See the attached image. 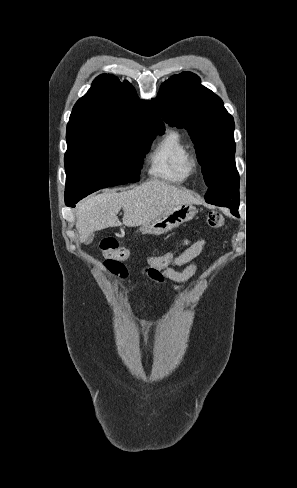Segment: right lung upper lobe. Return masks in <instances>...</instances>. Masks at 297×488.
Here are the masks:
<instances>
[{
    "instance_id": "right-lung-upper-lobe-1",
    "label": "right lung upper lobe",
    "mask_w": 297,
    "mask_h": 488,
    "mask_svg": "<svg viewBox=\"0 0 297 488\" xmlns=\"http://www.w3.org/2000/svg\"><path fill=\"white\" fill-rule=\"evenodd\" d=\"M165 126L150 101L138 99L133 86L111 74L98 76L73 107L67 124V143L124 136L131 130Z\"/></svg>"
}]
</instances>
